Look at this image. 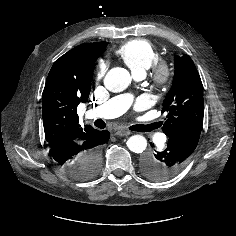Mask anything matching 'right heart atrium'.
Wrapping results in <instances>:
<instances>
[{
	"label": "right heart atrium",
	"instance_id": "right-heart-atrium-1",
	"mask_svg": "<svg viewBox=\"0 0 236 236\" xmlns=\"http://www.w3.org/2000/svg\"><path fill=\"white\" fill-rule=\"evenodd\" d=\"M106 69H107V64L104 60H100L96 66V73H95V76H96V79H101L105 72H106Z\"/></svg>",
	"mask_w": 236,
	"mask_h": 236
}]
</instances>
